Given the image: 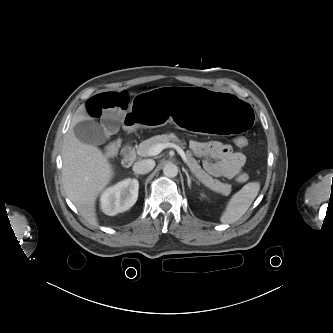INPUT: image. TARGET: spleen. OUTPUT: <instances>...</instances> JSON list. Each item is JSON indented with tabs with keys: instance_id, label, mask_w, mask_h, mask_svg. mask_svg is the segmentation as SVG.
Returning a JSON list of instances; mask_svg holds the SVG:
<instances>
[{
	"instance_id": "1",
	"label": "spleen",
	"mask_w": 333,
	"mask_h": 333,
	"mask_svg": "<svg viewBox=\"0 0 333 333\" xmlns=\"http://www.w3.org/2000/svg\"><path fill=\"white\" fill-rule=\"evenodd\" d=\"M259 191V182H250L244 185L241 190L233 194L229 199L220 221L224 224H231L239 220L255 200Z\"/></svg>"
}]
</instances>
